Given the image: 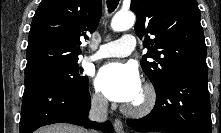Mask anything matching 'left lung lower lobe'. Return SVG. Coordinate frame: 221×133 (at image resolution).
Returning <instances> with one entry per match:
<instances>
[{"label":"left lung lower lobe","mask_w":221,"mask_h":133,"mask_svg":"<svg viewBox=\"0 0 221 133\" xmlns=\"http://www.w3.org/2000/svg\"><path fill=\"white\" fill-rule=\"evenodd\" d=\"M156 105L142 119H129L138 132L211 133V108L207 75L178 73L159 90Z\"/></svg>","instance_id":"0a47b994"}]
</instances>
